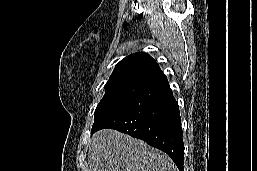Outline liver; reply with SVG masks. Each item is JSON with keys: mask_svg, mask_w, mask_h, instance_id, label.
Instances as JSON below:
<instances>
[{"mask_svg": "<svg viewBox=\"0 0 257 171\" xmlns=\"http://www.w3.org/2000/svg\"><path fill=\"white\" fill-rule=\"evenodd\" d=\"M88 163L90 171H178L162 151L112 129L93 135Z\"/></svg>", "mask_w": 257, "mask_h": 171, "instance_id": "1", "label": "liver"}]
</instances>
